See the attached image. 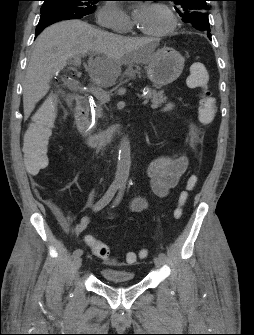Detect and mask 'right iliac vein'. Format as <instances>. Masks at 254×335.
Here are the masks:
<instances>
[{"label":"right iliac vein","mask_w":254,"mask_h":335,"mask_svg":"<svg viewBox=\"0 0 254 335\" xmlns=\"http://www.w3.org/2000/svg\"><path fill=\"white\" fill-rule=\"evenodd\" d=\"M82 265V258L80 256L74 257V268L77 270Z\"/></svg>","instance_id":"63e3f726"}]
</instances>
